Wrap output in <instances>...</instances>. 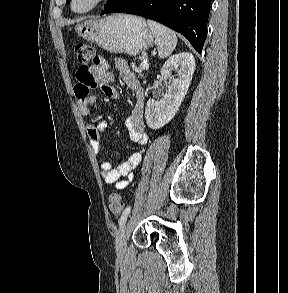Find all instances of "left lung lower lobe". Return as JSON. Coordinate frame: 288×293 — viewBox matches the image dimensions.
<instances>
[{
  "instance_id": "left-lung-lower-lobe-1",
  "label": "left lung lower lobe",
  "mask_w": 288,
  "mask_h": 293,
  "mask_svg": "<svg viewBox=\"0 0 288 293\" xmlns=\"http://www.w3.org/2000/svg\"><path fill=\"white\" fill-rule=\"evenodd\" d=\"M210 4L211 0H114L101 15L128 13L155 20L181 33L201 53Z\"/></svg>"
}]
</instances>
